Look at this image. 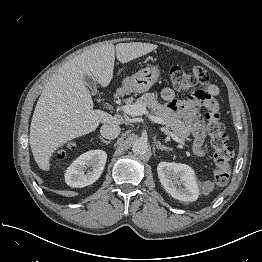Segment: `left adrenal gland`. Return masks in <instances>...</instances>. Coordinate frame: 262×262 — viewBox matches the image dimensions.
<instances>
[{"instance_id":"obj_1","label":"left adrenal gland","mask_w":262,"mask_h":262,"mask_svg":"<svg viewBox=\"0 0 262 262\" xmlns=\"http://www.w3.org/2000/svg\"><path fill=\"white\" fill-rule=\"evenodd\" d=\"M157 149L158 150H166V151H171L172 149L171 148H169V147H166V146H164V145H161V143L159 142V141H157Z\"/></svg>"}]
</instances>
